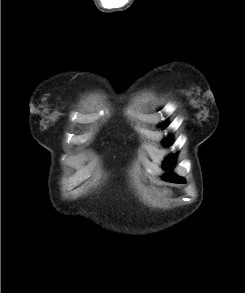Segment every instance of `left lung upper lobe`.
<instances>
[{
  "label": "left lung upper lobe",
  "instance_id": "1",
  "mask_svg": "<svg viewBox=\"0 0 245 293\" xmlns=\"http://www.w3.org/2000/svg\"><path fill=\"white\" fill-rule=\"evenodd\" d=\"M171 142V138L168 137L166 140H164V143L165 144H169ZM176 155H173L169 158H167L164 162V166H165V169L166 170H169L173 167V161L175 159ZM163 180H166V181H169V182H174V183H179L181 182L182 180H184L183 178L181 177H178L176 176L175 174L173 173H170V174H166L162 177Z\"/></svg>",
  "mask_w": 245,
  "mask_h": 293
}]
</instances>
